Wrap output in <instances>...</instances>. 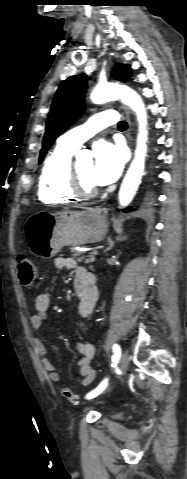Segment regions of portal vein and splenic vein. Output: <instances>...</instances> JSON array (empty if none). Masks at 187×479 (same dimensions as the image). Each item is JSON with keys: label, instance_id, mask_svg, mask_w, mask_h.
Instances as JSON below:
<instances>
[{"label": "portal vein and splenic vein", "instance_id": "18ae733b", "mask_svg": "<svg viewBox=\"0 0 187 479\" xmlns=\"http://www.w3.org/2000/svg\"><path fill=\"white\" fill-rule=\"evenodd\" d=\"M91 254H92V255H97L98 252H97V251H92Z\"/></svg>", "mask_w": 187, "mask_h": 479}]
</instances>
